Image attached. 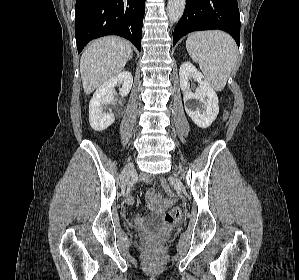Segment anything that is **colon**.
Returning <instances> with one entry per match:
<instances>
[{"label": "colon", "mask_w": 299, "mask_h": 280, "mask_svg": "<svg viewBox=\"0 0 299 280\" xmlns=\"http://www.w3.org/2000/svg\"><path fill=\"white\" fill-rule=\"evenodd\" d=\"M182 216V210L179 207L171 208L164 216V221L168 224L176 223Z\"/></svg>", "instance_id": "5ec220e1"}]
</instances>
